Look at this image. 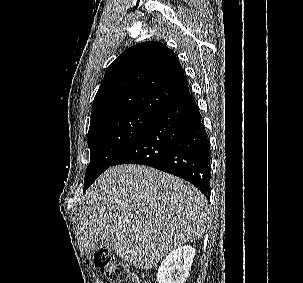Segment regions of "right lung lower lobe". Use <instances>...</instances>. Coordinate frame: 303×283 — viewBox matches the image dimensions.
Segmentation results:
<instances>
[{
  "mask_svg": "<svg viewBox=\"0 0 303 283\" xmlns=\"http://www.w3.org/2000/svg\"><path fill=\"white\" fill-rule=\"evenodd\" d=\"M125 163L183 178L209 200V140L192 94L159 112L112 166Z\"/></svg>",
  "mask_w": 303,
  "mask_h": 283,
  "instance_id": "right-lung-lower-lobe-1",
  "label": "right lung lower lobe"
}]
</instances>
